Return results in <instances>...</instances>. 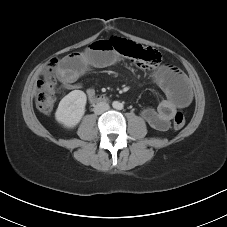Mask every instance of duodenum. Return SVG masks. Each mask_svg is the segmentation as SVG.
I'll return each instance as SVG.
<instances>
[{"mask_svg":"<svg viewBox=\"0 0 227 227\" xmlns=\"http://www.w3.org/2000/svg\"><path fill=\"white\" fill-rule=\"evenodd\" d=\"M91 99H92L93 102H96V103L105 100V98L100 97V96H93Z\"/></svg>","mask_w":227,"mask_h":227,"instance_id":"410a0bca","label":"duodenum"}]
</instances>
